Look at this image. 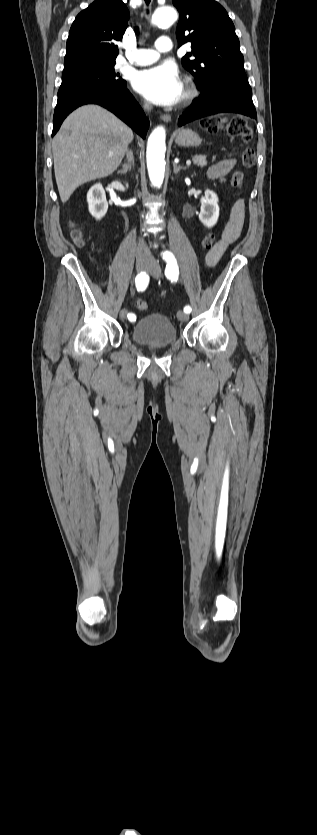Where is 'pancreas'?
I'll return each instance as SVG.
<instances>
[{"label":"pancreas","instance_id":"pancreas-1","mask_svg":"<svg viewBox=\"0 0 317 835\" xmlns=\"http://www.w3.org/2000/svg\"><path fill=\"white\" fill-rule=\"evenodd\" d=\"M194 164L204 167L207 164L206 156L205 155H195L193 157Z\"/></svg>","mask_w":317,"mask_h":835}]
</instances>
